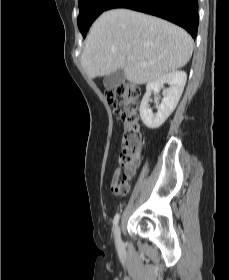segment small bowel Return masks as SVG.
Listing matches in <instances>:
<instances>
[{
    "label": "small bowel",
    "instance_id": "c3829d8e",
    "mask_svg": "<svg viewBox=\"0 0 229 280\" xmlns=\"http://www.w3.org/2000/svg\"><path fill=\"white\" fill-rule=\"evenodd\" d=\"M126 171H127V173L130 175V174L133 173L134 168H133V167H130V168H128ZM118 175H119V169H117V170L115 171V174H114V177H113V183L117 182ZM115 194H116L117 196L121 197V196H124V195L126 194V192H116V191H115Z\"/></svg>",
    "mask_w": 229,
    "mask_h": 280
}]
</instances>
